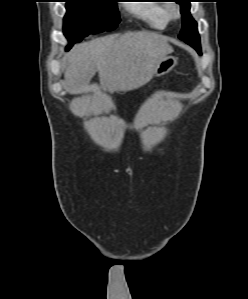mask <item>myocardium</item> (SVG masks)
<instances>
[{
	"instance_id": "1",
	"label": "myocardium",
	"mask_w": 248,
	"mask_h": 299,
	"mask_svg": "<svg viewBox=\"0 0 248 299\" xmlns=\"http://www.w3.org/2000/svg\"><path fill=\"white\" fill-rule=\"evenodd\" d=\"M165 11L169 20L178 19L181 15L179 5L175 3L167 5Z\"/></svg>"
}]
</instances>
